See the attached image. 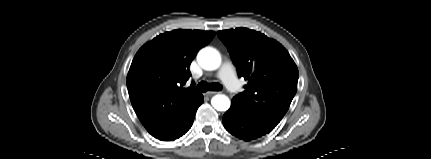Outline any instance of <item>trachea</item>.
<instances>
[{"mask_svg":"<svg viewBox=\"0 0 431 159\" xmlns=\"http://www.w3.org/2000/svg\"><path fill=\"white\" fill-rule=\"evenodd\" d=\"M220 91L222 90V86L219 83H207V82H200L196 87L197 93H204L206 91Z\"/></svg>","mask_w":431,"mask_h":159,"instance_id":"3493384b","label":"trachea"}]
</instances>
